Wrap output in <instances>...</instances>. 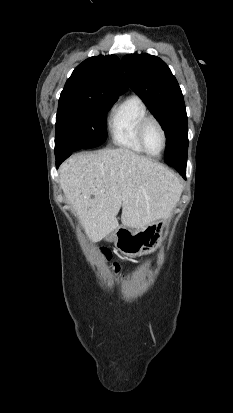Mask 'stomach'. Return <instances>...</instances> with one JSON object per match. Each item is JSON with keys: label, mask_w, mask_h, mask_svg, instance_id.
<instances>
[{"label": "stomach", "mask_w": 233, "mask_h": 413, "mask_svg": "<svg viewBox=\"0 0 233 413\" xmlns=\"http://www.w3.org/2000/svg\"><path fill=\"white\" fill-rule=\"evenodd\" d=\"M166 225L167 220L163 219L137 230L120 226L105 239L114 242L116 248L127 256L145 255L153 252L162 242Z\"/></svg>", "instance_id": "obj_1"}]
</instances>
